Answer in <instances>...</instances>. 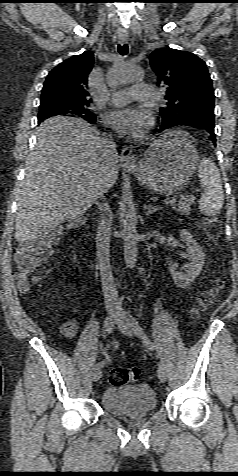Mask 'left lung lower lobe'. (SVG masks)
<instances>
[{
	"mask_svg": "<svg viewBox=\"0 0 238 476\" xmlns=\"http://www.w3.org/2000/svg\"><path fill=\"white\" fill-rule=\"evenodd\" d=\"M177 125H186V126H192V127H200L205 130H207L210 133V140L213 142L214 145H216V138H215V133H214V121L209 120L207 118H200V119H194V120H186L182 122H177V123H168L165 125H161L160 131H163L165 129L171 128L173 126Z\"/></svg>",
	"mask_w": 238,
	"mask_h": 476,
	"instance_id": "left-lung-lower-lobe-1",
	"label": "left lung lower lobe"
}]
</instances>
